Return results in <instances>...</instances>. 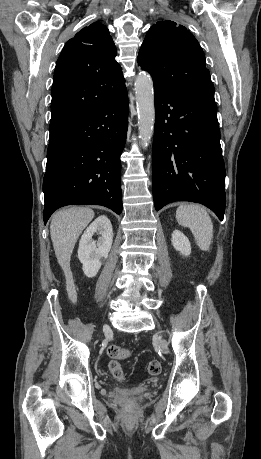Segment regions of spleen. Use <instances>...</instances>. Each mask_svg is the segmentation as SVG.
Masks as SVG:
<instances>
[{"label":"spleen","instance_id":"spleen-1","mask_svg":"<svg viewBox=\"0 0 261 459\" xmlns=\"http://www.w3.org/2000/svg\"><path fill=\"white\" fill-rule=\"evenodd\" d=\"M176 220L190 228L198 247L208 251L213 238V223L208 212L197 204H182L176 210Z\"/></svg>","mask_w":261,"mask_h":459}]
</instances>
